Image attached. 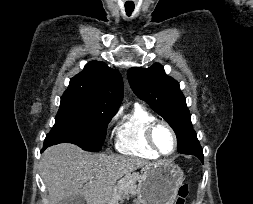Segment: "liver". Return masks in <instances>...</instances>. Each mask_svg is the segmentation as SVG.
I'll return each instance as SVG.
<instances>
[{
	"label": "liver",
	"mask_w": 253,
	"mask_h": 204,
	"mask_svg": "<svg viewBox=\"0 0 253 204\" xmlns=\"http://www.w3.org/2000/svg\"><path fill=\"white\" fill-rule=\"evenodd\" d=\"M148 164L133 156L89 153L68 143L49 147L40 162L49 204L76 195L87 204H111L117 180Z\"/></svg>",
	"instance_id": "obj_1"
}]
</instances>
